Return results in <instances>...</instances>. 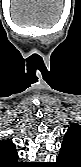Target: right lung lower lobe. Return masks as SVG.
<instances>
[{"label": "right lung lower lobe", "mask_w": 81, "mask_h": 167, "mask_svg": "<svg viewBox=\"0 0 81 167\" xmlns=\"http://www.w3.org/2000/svg\"><path fill=\"white\" fill-rule=\"evenodd\" d=\"M23 165L20 163V164H17V165H14L12 167H22Z\"/></svg>", "instance_id": "obj_1"}]
</instances>
